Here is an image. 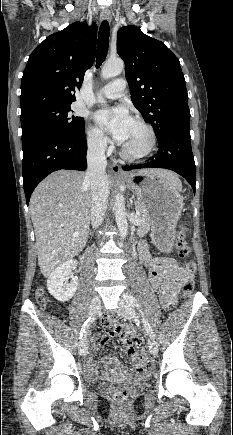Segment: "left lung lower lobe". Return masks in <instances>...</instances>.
<instances>
[{
  "label": "left lung lower lobe",
  "mask_w": 233,
  "mask_h": 435,
  "mask_svg": "<svg viewBox=\"0 0 233 435\" xmlns=\"http://www.w3.org/2000/svg\"><path fill=\"white\" fill-rule=\"evenodd\" d=\"M159 150L153 160L133 166H125L124 170L139 168H165L183 176L192 186L195 194V162L191 149L190 128L168 133L158 140Z\"/></svg>",
  "instance_id": "obj_1"
}]
</instances>
